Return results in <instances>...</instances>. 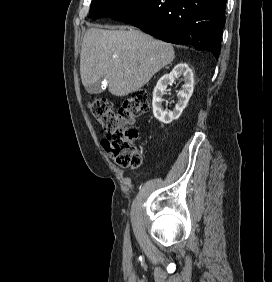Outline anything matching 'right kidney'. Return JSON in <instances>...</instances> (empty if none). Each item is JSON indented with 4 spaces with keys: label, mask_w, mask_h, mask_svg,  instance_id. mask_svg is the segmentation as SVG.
I'll return each mask as SVG.
<instances>
[{
    "label": "right kidney",
    "mask_w": 272,
    "mask_h": 282,
    "mask_svg": "<svg viewBox=\"0 0 272 282\" xmlns=\"http://www.w3.org/2000/svg\"><path fill=\"white\" fill-rule=\"evenodd\" d=\"M178 76L184 77V85L178 92V102L173 111L167 112L162 108V96L169 84H172ZM194 89V76L192 70L186 63L177 64L169 74L163 75L157 82L153 91V114L156 119L164 124H169L180 117L182 111L188 104Z\"/></svg>",
    "instance_id": "obj_1"
}]
</instances>
